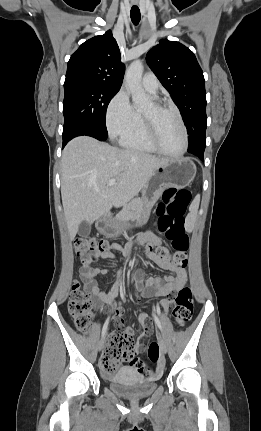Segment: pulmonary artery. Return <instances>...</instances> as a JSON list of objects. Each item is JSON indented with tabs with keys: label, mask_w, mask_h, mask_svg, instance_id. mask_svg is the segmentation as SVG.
<instances>
[{
	"label": "pulmonary artery",
	"mask_w": 261,
	"mask_h": 431,
	"mask_svg": "<svg viewBox=\"0 0 261 431\" xmlns=\"http://www.w3.org/2000/svg\"><path fill=\"white\" fill-rule=\"evenodd\" d=\"M142 85L148 92L155 94L159 87V81L153 73H146L142 78Z\"/></svg>",
	"instance_id": "pulmonary-artery-1"
}]
</instances>
